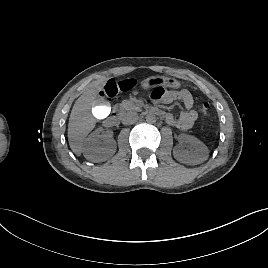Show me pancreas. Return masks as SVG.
<instances>
[{"mask_svg": "<svg viewBox=\"0 0 268 268\" xmlns=\"http://www.w3.org/2000/svg\"><path fill=\"white\" fill-rule=\"evenodd\" d=\"M143 106V103H134L131 100H123L119 104V109L121 111H132V110H138L140 107Z\"/></svg>", "mask_w": 268, "mask_h": 268, "instance_id": "cf45deb5", "label": "pancreas"}]
</instances>
